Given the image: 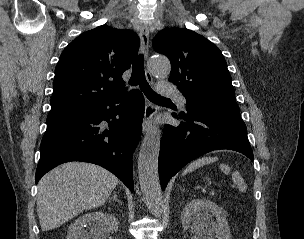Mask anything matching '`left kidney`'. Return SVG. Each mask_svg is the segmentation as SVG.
<instances>
[{
  "instance_id": "1",
  "label": "left kidney",
  "mask_w": 304,
  "mask_h": 239,
  "mask_svg": "<svg viewBox=\"0 0 304 239\" xmlns=\"http://www.w3.org/2000/svg\"><path fill=\"white\" fill-rule=\"evenodd\" d=\"M181 222L184 230L196 233L198 239H232L225 212L210 200L190 201L181 212Z\"/></svg>"
}]
</instances>
